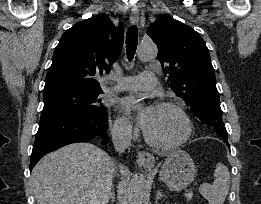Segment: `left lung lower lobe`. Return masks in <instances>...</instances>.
<instances>
[{"label":"left lung lower lobe","instance_id":"obj_1","mask_svg":"<svg viewBox=\"0 0 261 204\" xmlns=\"http://www.w3.org/2000/svg\"><path fill=\"white\" fill-rule=\"evenodd\" d=\"M223 140H224V141L227 143V145L229 146L227 139H223Z\"/></svg>","mask_w":261,"mask_h":204}]
</instances>
